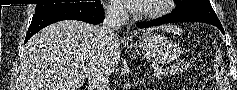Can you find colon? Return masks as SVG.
<instances>
[{"label":"colon","mask_w":237,"mask_h":90,"mask_svg":"<svg viewBox=\"0 0 237 90\" xmlns=\"http://www.w3.org/2000/svg\"><path fill=\"white\" fill-rule=\"evenodd\" d=\"M214 79L216 82L217 90H231L228 74L224 67L222 58L217 55L214 63Z\"/></svg>","instance_id":"obj_1"}]
</instances>
